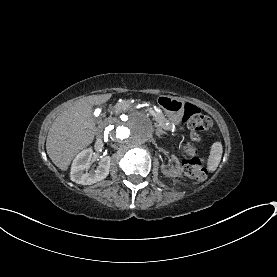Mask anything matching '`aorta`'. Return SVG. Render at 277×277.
I'll return each mask as SVG.
<instances>
[{"label":"aorta","instance_id":"1","mask_svg":"<svg viewBox=\"0 0 277 277\" xmlns=\"http://www.w3.org/2000/svg\"><path fill=\"white\" fill-rule=\"evenodd\" d=\"M109 136L118 145L126 148L142 147L154 134V125L141 112L121 115L109 125Z\"/></svg>","mask_w":277,"mask_h":277}]
</instances>
